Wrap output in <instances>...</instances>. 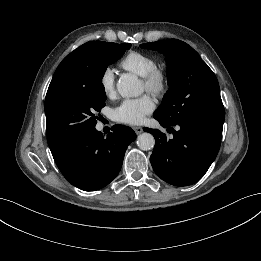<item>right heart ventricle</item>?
<instances>
[{"label":"right heart ventricle","mask_w":261,"mask_h":261,"mask_svg":"<svg viewBox=\"0 0 261 261\" xmlns=\"http://www.w3.org/2000/svg\"><path fill=\"white\" fill-rule=\"evenodd\" d=\"M120 66L127 71L144 77L156 66V60L150 54L140 51H130L121 59Z\"/></svg>","instance_id":"obj_1"}]
</instances>
